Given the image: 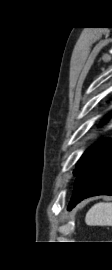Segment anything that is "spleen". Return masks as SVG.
Segmentation results:
<instances>
[{
	"label": "spleen",
	"instance_id": "spleen-1",
	"mask_svg": "<svg viewBox=\"0 0 112 270\" xmlns=\"http://www.w3.org/2000/svg\"><path fill=\"white\" fill-rule=\"evenodd\" d=\"M85 222L89 226H112V203L95 204L87 212Z\"/></svg>",
	"mask_w": 112,
	"mask_h": 270
}]
</instances>
